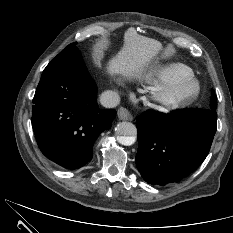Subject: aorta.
<instances>
[{"instance_id":"762f6f07","label":"aorta","mask_w":233,"mask_h":233,"mask_svg":"<svg viewBox=\"0 0 233 233\" xmlns=\"http://www.w3.org/2000/svg\"><path fill=\"white\" fill-rule=\"evenodd\" d=\"M115 131L120 144L130 146L135 142L137 128L131 122H120L116 126Z\"/></svg>"}]
</instances>
